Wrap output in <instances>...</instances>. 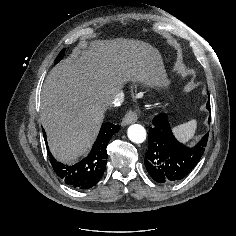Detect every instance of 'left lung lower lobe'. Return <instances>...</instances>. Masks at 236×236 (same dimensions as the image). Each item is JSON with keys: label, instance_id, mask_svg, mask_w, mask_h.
<instances>
[{"label": "left lung lower lobe", "instance_id": "obj_1", "mask_svg": "<svg viewBox=\"0 0 236 236\" xmlns=\"http://www.w3.org/2000/svg\"><path fill=\"white\" fill-rule=\"evenodd\" d=\"M152 124L144 159L148 173L159 183L169 184L183 179L202 157L209 133L194 147H187L174 137L166 114L156 116Z\"/></svg>", "mask_w": 236, "mask_h": 236}]
</instances>
